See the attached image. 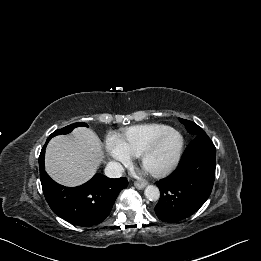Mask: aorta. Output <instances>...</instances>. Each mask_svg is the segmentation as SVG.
Returning <instances> with one entry per match:
<instances>
[{"instance_id":"1","label":"aorta","mask_w":261,"mask_h":261,"mask_svg":"<svg viewBox=\"0 0 261 261\" xmlns=\"http://www.w3.org/2000/svg\"><path fill=\"white\" fill-rule=\"evenodd\" d=\"M144 194L150 201H157L160 198L159 188L155 185H148L144 190Z\"/></svg>"}]
</instances>
